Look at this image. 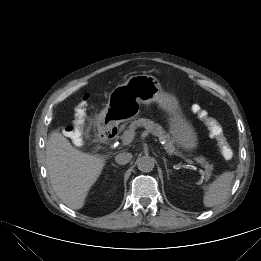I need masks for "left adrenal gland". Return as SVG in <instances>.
I'll return each mask as SVG.
<instances>
[{"label":"left adrenal gland","instance_id":"1","mask_svg":"<svg viewBox=\"0 0 261 261\" xmlns=\"http://www.w3.org/2000/svg\"><path fill=\"white\" fill-rule=\"evenodd\" d=\"M163 161H164V165H165V169H166V173H167V176H168V178H169V176H170V172H169V169H168V167H167V163H166V158H163Z\"/></svg>","mask_w":261,"mask_h":261}]
</instances>
